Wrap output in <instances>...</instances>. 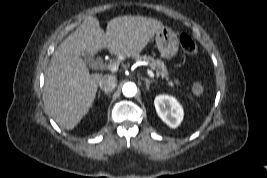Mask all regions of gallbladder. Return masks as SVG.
I'll return each instance as SVG.
<instances>
[{
    "mask_svg": "<svg viewBox=\"0 0 267 178\" xmlns=\"http://www.w3.org/2000/svg\"><path fill=\"white\" fill-rule=\"evenodd\" d=\"M83 59H84V61H85L87 64H89V65H92L93 62H94V57H93L92 55H90V54H85V55L83 56Z\"/></svg>",
    "mask_w": 267,
    "mask_h": 178,
    "instance_id": "gallbladder-1",
    "label": "gallbladder"
}]
</instances>
